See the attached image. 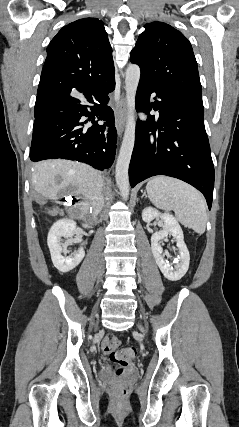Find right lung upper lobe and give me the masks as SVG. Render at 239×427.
I'll return each mask as SVG.
<instances>
[{
    "label": "right lung upper lobe",
    "mask_w": 239,
    "mask_h": 427,
    "mask_svg": "<svg viewBox=\"0 0 239 427\" xmlns=\"http://www.w3.org/2000/svg\"><path fill=\"white\" fill-rule=\"evenodd\" d=\"M112 76V48L102 21L79 19L64 26L47 47L36 100L96 86Z\"/></svg>",
    "instance_id": "cb5924a9"
}]
</instances>
